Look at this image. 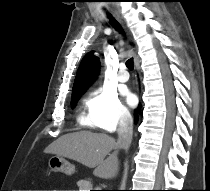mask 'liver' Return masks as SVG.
<instances>
[{"label":"liver","instance_id":"6515ba94","mask_svg":"<svg viewBox=\"0 0 210 191\" xmlns=\"http://www.w3.org/2000/svg\"><path fill=\"white\" fill-rule=\"evenodd\" d=\"M118 150L115 139L107 134L79 131L61 136L45 149V153L75 160L94 168L95 175L110 179L118 173Z\"/></svg>","mask_w":210,"mask_h":191}]
</instances>
